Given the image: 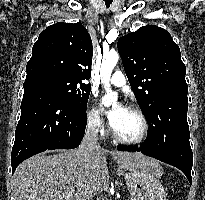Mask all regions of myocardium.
I'll list each match as a JSON object with an SVG mask.
<instances>
[{
  "label": "myocardium",
  "mask_w": 205,
  "mask_h": 200,
  "mask_svg": "<svg viewBox=\"0 0 205 200\" xmlns=\"http://www.w3.org/2000/svg\"><path fill=\"white\" fill-rule=\"evenodd\" d=\"M126 109L136 113L138 115V117L140 118V121L142 123V128H141L140 134L135 138H125V137H122L119 134H117L114 131L113 127L111 126L110 127L111 135L117 142H120L123 144H130V145L139 144V143L143 142L148 135V132H149L148 119H147L146 115L144 114V112L142 111V109L136 105L129 104L126 106Z\"/></svg>",
  "instance_id": "1"
}]
</instances>
